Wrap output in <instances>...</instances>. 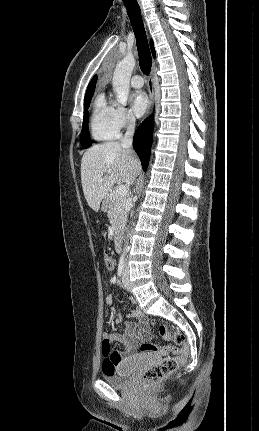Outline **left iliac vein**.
<instances>
[{"mask_svg": "<svg viewBox=\"0 0 259 431\" xmlns=\"http://www.w3.org/2000/svg\"><path fill=\"white\" fill-rule=\"evenodd\" d=\"M122 283L128 291L131 290V285L129 282V267L127 265L125 266V269H124V273H123V277H122Z\"/></svg>", "mask_w": 259, "mask_h": 431, "instance_id": "4c4485c4", "label": "left iliac vein"}]
</instances>
